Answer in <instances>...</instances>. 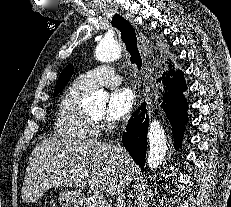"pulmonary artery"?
<instances>
[{"mask_svg": "<svg viewBox=\"0 0 231 207\" xmlns=\"http://www.w3.org/2000/svg\"><path fill=\"white\" fill-rule=\"evenodd\" d=\"M121 77L109 64H102L94 67L80 75L74 84L85 91H91L97 87H110L118 84Z\"/></svg>", "mask_w": 231, "mask_h": 207, "instance_id": "pulmonary-artery-1", "label": "pulmonary artery"}]
</instances>
